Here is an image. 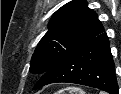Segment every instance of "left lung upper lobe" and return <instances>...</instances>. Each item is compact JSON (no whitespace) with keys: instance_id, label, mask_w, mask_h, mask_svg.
<instances>
[{"instance_id":"left-lung-upper-lobe-1","label":"left lung upper lobe","mask_w":121,"mask_h":94,"mask_svg":"<svg viewBox=\"0 0 121 94\" xmlns=\"http://www.w3.org/2000/svg\"><path fill=\"white\" fill-rule=\"evenodd\" d=\"M85 0H72L57 10L31 59L30 71L44 74L65 56L104 32Z\"/></svg>"}]
</instances>
